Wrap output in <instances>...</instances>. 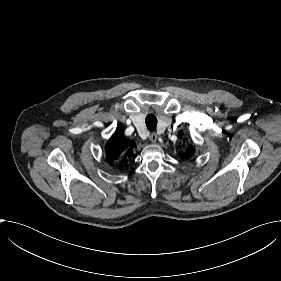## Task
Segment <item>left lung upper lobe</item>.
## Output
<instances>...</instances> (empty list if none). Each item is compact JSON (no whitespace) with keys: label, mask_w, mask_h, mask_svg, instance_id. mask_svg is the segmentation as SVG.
<instances>
[{"label":"left lung upper lobe","mask_w":281,"mask_h":281,"mask_svg":"<svg viewBox=\"0 0 281 281\" xmlns=\"http://www.w3.org/2000/svg\"><path fill=\"white\" fill-rule=\"evenodd\" d=\"M182 135H183V132L181 131L180 132V137L182 138ZM194 153V148L192 147V149H187V151L182 154V158H185V159H189L192 154Z\"/></svg>","instance_id":"5c2ea615"}]
</instances>
